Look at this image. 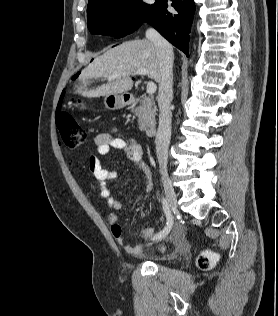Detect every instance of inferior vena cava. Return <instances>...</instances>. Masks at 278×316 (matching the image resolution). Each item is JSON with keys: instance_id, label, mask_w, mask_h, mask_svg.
Returning a JSON list of instances; mask_svg holds the SVG:
<instances>
[{"instance_id": "602c4592", "label": "inferior vena cava", "mask_w": 278, "mask_h": 316, "mask_svg": "<svg viewBox=\"0 0 278 316\" xmlns=\"http://www.w3.org/2000/svg\"><path fill=\"white\" fill-rule=\"evenodd\" d=\"M146 38L152 41L162 63V77L159 83L158 105H159V126L155 138L156 154L161 172L167 171L168 147L171 138L172 113L170 103L173 98V48L155 29L146 31Z\"/></svg>"}]
</instances>
